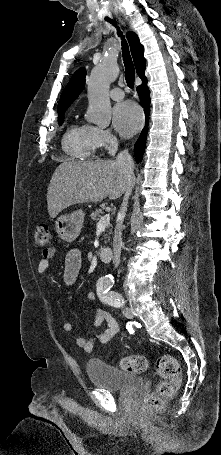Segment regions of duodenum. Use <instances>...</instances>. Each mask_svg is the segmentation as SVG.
<instances>
[{"label":"duodenum","mask_w":221,"mask_h":455,"mask_svg":"<svg viewBox=\"0 0 221 455\" xmlns=\"http://www.w3.org/2000/svg\"><path fill=\"white\" fill-rule=\"evenodd\" d=\"M99 257L104 263H110L113 258L112 250L109 247H103L99 251Z\"/></svg>","instance_id":"duodenum-1"}]
</instances>
